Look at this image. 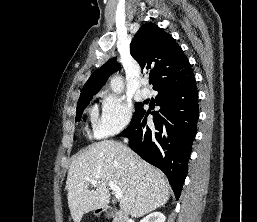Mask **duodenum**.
Returning a JSON list of instances; mask_svg holds the SVG:
<instances>
[{
	"label": "duodenum",
	"mask_w": 257,
	"mask_h": 222,
	"mask_svg": "<svg viewBox=\"0 0 257 222\" xmlns=\"http://www.w3.org/2000/svg\"><path fill=\"white\" fill-rule=\"evenodd\" d=\"M109 210L114 211V222H129L127 215L119 208L107 206V207H100L97 209L98 214H103Z\"/></svg>",
	"instance_id": "obj_1"
}]
</instances>
